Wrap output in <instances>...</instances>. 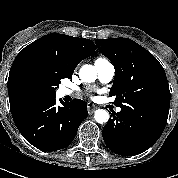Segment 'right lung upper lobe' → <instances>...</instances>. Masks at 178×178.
Here are the masks:
<instances>
[{
	"instance_id": "obj_1",
	"label": "right lung upper lobe",
	"mask_w": 178,
	"mask_h": 178,
	"mask_svg": "<svg viewBox=\"0 0 178 178\" xmlns=\"http://www.w3.org/2000/svg\"><path fill=\"white\" fill-rule=\"evenodd\" d=\"M93 41L64 34L45 35L22 49L16 56L8 78L10 104L22 98L17 86L19 68L28 61H38L62 74L72 76L83 59L96 54Z\"/></svg>"
}]
</instances>
